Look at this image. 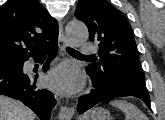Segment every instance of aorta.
<instances>
[{"instance_id": "obj_1", "label": "aorta", "mask_w": 165, "mask_h": 120, "mask_svg": "<svg viewBox=\"0 0 165 120\" xmlns=\"http://www.w3.org/2000/svg\"><path fill=\"white\" fill-rule=\"evenodd\" d=\"M66 33L70 42L75 46L85 42L89 36L86 25L78 20L68 22L66 25Z\"/></svg>"}]
</instances>
